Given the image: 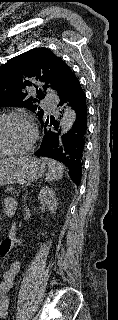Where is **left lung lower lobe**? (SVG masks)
Listing matches in <instances>:
<instances>
[{"mask_svg": "<svg viewBox=\"0 0 118 320\" xmlns=\"http://www.w3.org/2000/svg\"><path fill=\"white\" fill-rule=\"evenodd\" d=\"M58 97V106L67 104L75 111V122L67 133H63L54 117H50V122L49 116L42 118L40 123L45 134L40 149L34 154L63 163L70 178L79 185L87 133V106L85 93L74 74L67 80Z\"/></svg>", "mask_w": 118, "mask_h": 320, "instance_id": "left-lung-lower-lobe-1", "label": "left lung lower lobe"}]
</instances>
